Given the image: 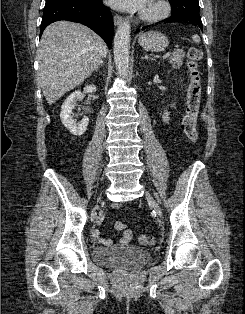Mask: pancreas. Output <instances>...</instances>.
<instances>
[{"instance_id":"1","label":"pancreas","mask_w":245,"mask_h":314,"mask_svg":"<svg viewBox=\"0 0 245 314\" xmlns=\"http://www.w3.org/2000/svg\"><path fill=\"white\" fill-rule=\"evenodd\" d=\"M185 57V53L183 50L179 49L172 53L171 57L169 58V63L172 65L174 69L180 68L183 64V59Z\"/></svg>"}]
</instances>
